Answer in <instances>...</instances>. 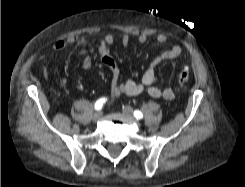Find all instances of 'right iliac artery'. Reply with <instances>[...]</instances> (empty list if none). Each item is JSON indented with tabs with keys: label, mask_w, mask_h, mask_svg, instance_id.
I'll return each mask as SVG.
<instances>
[{
	"label": "right iliac artery",
	"mask_w": 245,
	"mask_h": 187,
	"mask_svg": "<svg viewBox=\"0 0 245 187\" xmlns=\"http://www.w3.org/2000/svg\"><path fill=\"white\" fill-rule=\"evenodd\" d=\"M105 102H106V98H100L99 100H97L94 106L95 109L100 110L103 107Z\"/></svg>",
	"instance_id": "right-iliac-artery-1"
}]
</instances>
